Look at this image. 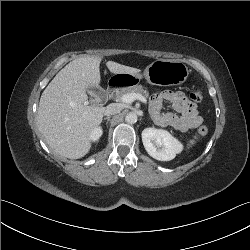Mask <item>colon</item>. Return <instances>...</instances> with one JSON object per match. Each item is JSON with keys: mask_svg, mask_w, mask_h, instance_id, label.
I'll return each instance as SVG.
<instances>
[{"mask_svg": "<svg viewBox=\"0 0 250 250\" xmlns=\"http://www.w3.org/2000/svg\"><path fill=\"white\" fill-rule=\"evenodd\" d=\"M190 99L195 103H201L203 100V95L200 90H194L189 95ZM208 133V129L205 126H201L193 138L189 142V146H193L200 138L204 137Z\"/></svg>", "mask_w": 250, "mask_h": 250, "instance_id": "1", "label": "colon"}]
</instances>
